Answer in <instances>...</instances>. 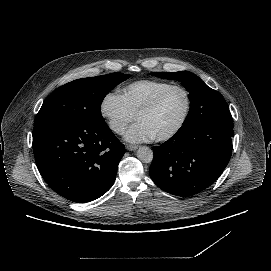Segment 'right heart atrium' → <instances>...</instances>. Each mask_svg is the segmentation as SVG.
Segmentation results:
<instances>
[{
  "instance_id": "obj_1",
  "label": "right heart atrium",
  "mask_w": 271,
  "mask_h": 271,
  "mask_svg": "<svg viewBox=\"0 0 271 271\" xmlns=\"http://www.w3.org/2000/svg\"><path fill=\"white\" fill-rule=\"evenodd\" d=\"M99 114L109 129L118 135L127 130L135 117L124 105L121 96L113 90L103 95L99 103Z\"/></svg>"
}]
</instances>
